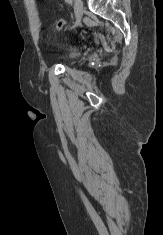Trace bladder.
Returning a JSON list of instances; mask_svg holds the SVG:
<instances>
[{"label":"bladder","instance_id":"31cf9c89","mask_svg":"<svg viewBox=\"0 0 163 235\" xmlns=\"http://www.w3.org/2000/svg\"><path fill=\"white\" fill-rule=\"evenodd\" d=\"M78 54H79V52H78L77 49L71 48V49H69V51H68V56H67V58H68V60H74V59L77 58Z\"/></svg>","mask_w":163,"mask_h":235}]
</instances>
